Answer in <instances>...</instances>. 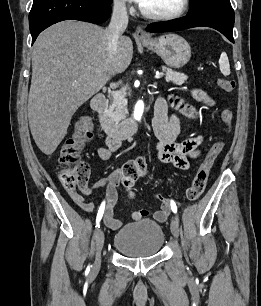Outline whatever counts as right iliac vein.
I'll list each match as a JSON object with an SVG mask.
<instances>
[{
    "label": "right iliac vein",
    "mask_w": 261,
    "mask_h": 306,
    "mask_svg": "<svg viewBox=\"0 0 261 306\" xmlns=\"http://www.w3.org/2000/svg\"><path fill=\"white\" fill-rule=\"evenodd\" d=\"M95 261L92 267V274L96 273L101 265V251L104 245V233L102 230L95 231Z\"/></svg>",
    "instance_id": "63e3f726"
}]
</instances>
